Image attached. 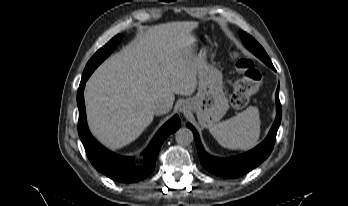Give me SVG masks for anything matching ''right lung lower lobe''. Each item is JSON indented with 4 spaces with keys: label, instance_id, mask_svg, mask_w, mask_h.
<instances>
[{
    "label": "right lung lower lobe",
    "instance_id": "obj_1",
    "mask_svg": "<svg viewBox=\"0 0 348 206\" xmlns=\"http://www.w3.org/2000/svg\"><path fill=\"white\" fill-rule=\"evenodd\" d=\"M104 59L103 57L101 60L95 59L91 61L86 65L83 72L77 95L79 108L78 133L90 162L99 172L120 182L130 183L139 181L153 172L163 141L169 134L175 132L180 127L181 122L179 117L175 115L157 132L149 147L144 152L147 164L142 168L135 167L132 164V158L118 156L102 147L92 137L87 127L83 90L87 79Z\"/></svg>",
    "mask_w": 348,
    "mask_h": 206
}]
</instances>
